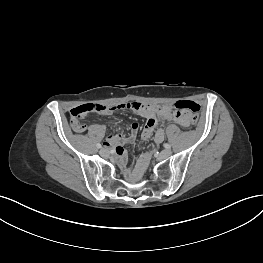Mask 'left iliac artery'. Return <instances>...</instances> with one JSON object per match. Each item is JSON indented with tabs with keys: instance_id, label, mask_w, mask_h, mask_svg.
Here are the masks:
<instances>
[{
	"instance_id": "1",
	"label": "left iliac artery",
	"mask_w": 263,
	"mask_h": 263,
	"mask_svg": "<svg viewBox=\"0 0 263 263\" xmlns=\"http://www.w3.org/2000/svg\"><path fill=\"white\" fill-rule=\"evenodd\" d=\"M164 147L166 148V149H170L171 148V145L170 144H164Z\"/></svg>"
}]
</instances>
